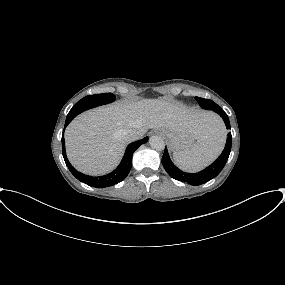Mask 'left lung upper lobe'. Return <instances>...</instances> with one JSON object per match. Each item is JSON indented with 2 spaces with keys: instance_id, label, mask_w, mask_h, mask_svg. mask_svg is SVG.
I'll use <instances>...</instances> for the list:
<instances>
[{
  "instance_id": "5c2ea615",
  "label": "left lung upper lobe",
  "mask_w": 285,
  "mask_h": 285,
  "mask_svg": "<svg viewBox=\"0 0 285 285\" xmlns=\"http://www.w3.org/2000/svg\"><path fill=\"white\" fill-rule=\"evenodd\" d=\"M195 99L197 100L199 105L204 109L215 111L216 109L220 108L215 102H213L210 99H204L200 97H195Z\"/></svg>"
}]
</instances>
